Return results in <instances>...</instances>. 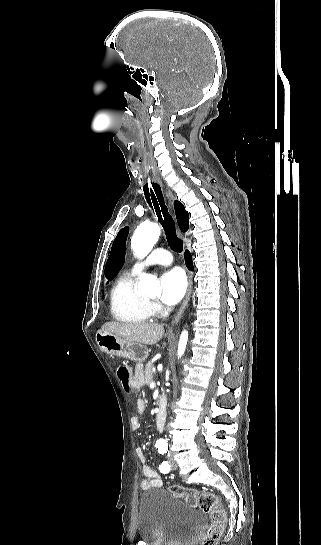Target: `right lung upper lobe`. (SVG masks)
Instances as JSON below:
<instances>
[{
    "label": "right lung upper lobe",
    "mask_w": 321,
    "mask_h": 545,
    "mask_svg": "<svg viewBox=\"0 0 321 545\" xmlns=\"http://www.w3.org/2000/svg\"><path fill=\"white\" fill-rule=\"evenodd\" d=\"M175 213L180 229L185 232L189 228V214L185 210L184 206L179 202H174Z\"/></svg>",
    "instance_id": "1"
}]
</instances>
